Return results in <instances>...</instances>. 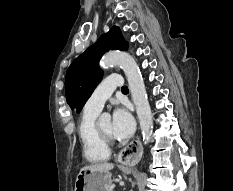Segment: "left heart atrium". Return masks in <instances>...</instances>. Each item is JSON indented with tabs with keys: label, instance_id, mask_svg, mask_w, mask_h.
<instances>
[{
	"label": "left heart atrium",
	"instance_id": "39dd6f15",
	"mask_svg": "<svg viewBox=\"0 0 233 191\" xmlns=\"http://www.w3.org/2000/svg\"><path fill=\"white\" fill-rule=\"evenodd\" d=\"M135 121L130 111L125 107L116 108L112 116V135L116 139H126L132 135Z\"/></svg>",
	"mask_w": 233,
	"mask_h": 191
}]
</instances>
